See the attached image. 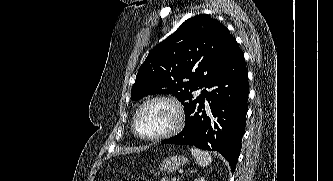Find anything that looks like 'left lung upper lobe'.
Listing matches in <instances>:
<instances>
[{
    "label": "left lung upper lobe",
    "instance_id": "left-lung-upper-lobe-1",
    "mask_svg": "<svg viewBox=\"0 0 333 181\" xmlns=\"http://www.w3.org/2000/svg\"><path fill=\"white\" fill-rule=\"evenodd\" d=\"M239 50L236 39L218 20L200 14L186 20L157 45L139 68L131 100L151 94H173L185 107H196L205 87Z\"/></svg>",
    "mask_w": 333,
    "mask_h": 181
}]
</instances>
